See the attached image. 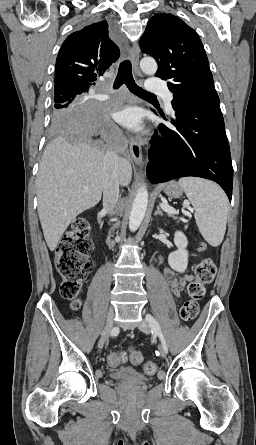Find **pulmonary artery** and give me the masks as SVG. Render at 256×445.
Here are the masks:
<instances>
[{
    "label": "pulmonary artery",
    "mask_w": 256,
    "mask_h": 445,
    "mask_svg": "<svg viewBox=\"0 0 256 445\" xmlns=\"http://www.w3.org/2000/svg\"><path fill=\"white\" fill-rule=\"evenodd\" d=\"M147 90L149 92H160L165 96V101L168 107H171L172 102V94L167 90L165 83L157 77H151L147 84ZM103 98H107V96H103Z\"/></svg>",
    "instance_id": "obj_1"
}]
</instances>
